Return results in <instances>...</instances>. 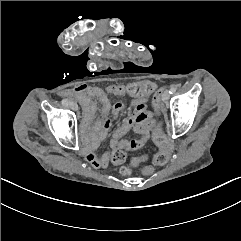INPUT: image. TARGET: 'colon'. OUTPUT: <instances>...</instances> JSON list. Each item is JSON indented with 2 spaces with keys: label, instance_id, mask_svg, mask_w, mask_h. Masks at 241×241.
<instances>
[{
  "label": "colon",
  "instance_id": "colon-1",
  "mask_svg": "<svg viewBox=\"0 0 241 241\" xmlns=\"http://www.w3.org/2000/svg\"><path fill=\"white\" fill-rule=\"evenodd\" d=\"M153 86L148 81H143L140 84L132 83L127 88V93L130 97L134 99H139L142 96H148L152 93ZM163 91H166V86H159L154 93V106H159V96ZM153 140L160 146V152L157 155H154L152 158V162L155 165H162L166 162L168 158V138L163 134L162 130L159 128L153 134ZM125 153H111L110 158L116 164H121L125 160ZM143 158L145 160L149 159L148 155H144ZM130 168L125 166L120 171L126 172ZM133 173L136 171L134 168L131 170ZM154 171V166L152 164H147L145 169H143L142 174L145 177L150 176V174Z\"/></svg>",
  "mask_w": 241,
  "mask_h": 241
}]
</instances>
